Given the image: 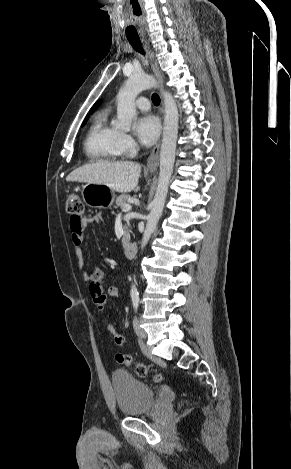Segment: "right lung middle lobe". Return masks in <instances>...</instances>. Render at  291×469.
Wrapping results in <instances>:
<instances>
[{
    "label": "right lung middle lobe",
    "instance_id": "obj_1",
    "mask_svg": "<svg viewBox=\"0 0 291 469\" xmlns=\"http://www.w3.org/2000/svg\"><path fill=\"white\" fill-rule=\"evenodd\" d=\"M86 121H87V118L85 119V121H84L83 125L86 123Z\"/></svg>",
    "mask_w": 291,
    "mask_h": 469
}]
</instances>
